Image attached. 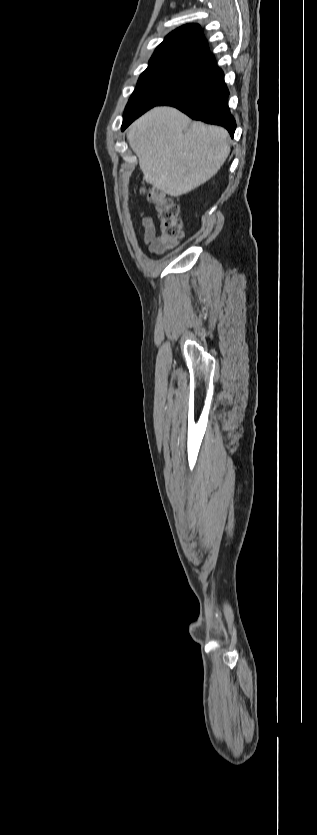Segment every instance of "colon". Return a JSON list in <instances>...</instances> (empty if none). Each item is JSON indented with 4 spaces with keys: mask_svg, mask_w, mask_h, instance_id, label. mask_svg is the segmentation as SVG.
I'll list each match as a JSON object with an SVG mask.
<instances>
[{
    "mask_svg": "<svg viewBox=\"0 0 317 835\" xmlns=\"http://www.w3.org/2000/svg\"><path fill=\"white\" fill-rule=\"evenodd\" d=\"M140 191L149 202L155 205L161 224V247L163 249L174 247L183 236L178 204L154 187L143 185Z\"/></svg>",
    "mask_w": 317,
    "mask_h": 835,
    "instance_id": "1",
    "label": "colon"
}]
</instances>
